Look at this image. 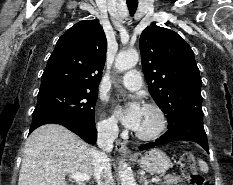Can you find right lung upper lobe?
Returning a JSON list of instances; mask_svg holds the SVG:
<instances>
[{
    "label": "right lung upper lobe",
    "mask_w": 233,
    "mask_h": 185,
    "mask_svg": "<svg viewBox=\"0 0 233 185\" xmlns=\"http://www.w3.org/2000/svg\"><path fill=\"white\" fill-rule=\"evenodd\" d=\"M107 41L97 20L80 21L57 41L39 90L69 88L98 91Z\"/></svg>",
    "instance_id": "right-lung-upper-lobe-1"
}]
</instances>
